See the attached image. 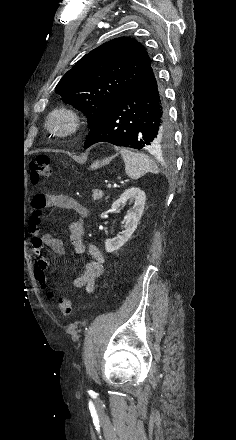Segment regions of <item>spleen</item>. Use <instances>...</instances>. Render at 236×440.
Wrapping results in <instances>:
<instances>
[{"mask_svg":"<svg viewBox=\"0 0 236 440\" xmlns=\"http://www.w3.org/2000/svg\"><path fill=\"white\" fill-rule=\"evenodd\" d=\"M120 154L125 163V172L131 179H139L148 172H158L157 165L148 155L128 148L121 149Z\"/></svg>","mask_w":236,"mask_h":440,"instance_id":"1","label":"spleen"}]
</instances>
